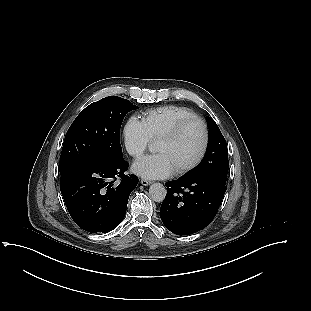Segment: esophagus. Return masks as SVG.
<instances>
[{
  "label": "esophagus",
  "instance_id": "34e87169",
  "mask_svg": "<svg viewBox=\"0 0 311 311\" xmlns=\"http://www.w3.org/2000/svg\"><path fill=\"white\" fill-rule=\"evenodd\" d=\"M140 182H141V184H142L143 186H148V185H150V184L152 183L151 181L146 180V179H142Z\"/></svg>",
  "mask_w": 311,
  "mask_h": 311
}]
</instances>
